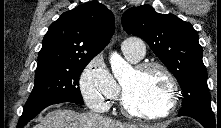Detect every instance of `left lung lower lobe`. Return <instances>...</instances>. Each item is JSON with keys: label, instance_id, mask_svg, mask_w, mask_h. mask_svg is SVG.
Instances as JSON below:
<instances>
[{"label": "left lung lower lobe", "instance_id": "0a47b994", "mask_svg": "<svg viewBox=\"0 0 221 128\" xmlns=\"http://www.w3.org/2000/svg\"><path fill=\"white\" fill-rule=\"evenodd\" d=\"M178 116H189L197 120L203 125L204 128H219L220 121L214 115L213 112H204V111H189L186 113L178 114Z\"/></svg>", "mask_w": 221, "mask_h": 128}]
</instances>
